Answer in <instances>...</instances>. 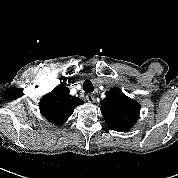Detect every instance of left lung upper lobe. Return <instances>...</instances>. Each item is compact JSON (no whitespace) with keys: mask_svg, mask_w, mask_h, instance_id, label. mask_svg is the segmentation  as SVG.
I'll return each mask as SVG.
<instances>
[{"mask_svg":"<svg viewBox=\"0 0 178 178\" xmlns=\"http://www.w3.org/2000/svg\"><path fill=\"white\" fill-rule=\"evenodd\" d=\"M101 105V112L108 127L115 131H128L139 117L140 105L117 87L106 92Z\"/></svg>","mask_w":178,"mask_h":178,"instance_id":"1","label":"left lung upper lobe"}]
</instances>
